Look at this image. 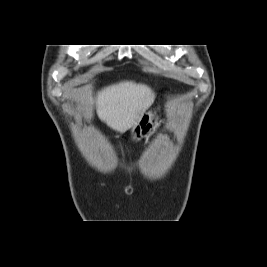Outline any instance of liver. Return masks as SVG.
Segmentation results:
<instances>
[{
    "mask_svg": "<svg viewBox=\"0 0 267 267\" xmlns=\"http://www.w3.org/2000/svg\"><path fill=\"white\" fill-rule=\"evenodd\" d=\"M155 93L144 84L123 81L98 92L95 104L98 117L111 129L124 133L150 108ZM92 103V98H89Z\"/></svg>",
    "mask_w": 267,
    "mask_h": 267,
    "instance_id": "liver-1",
    "label": "liver"
}]
</instances>
